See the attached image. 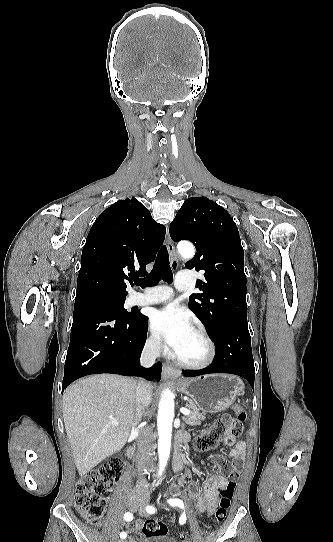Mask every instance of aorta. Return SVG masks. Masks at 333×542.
<instances>
[{
  "label": "aorta",
  "mask_w": 333,
  "mask_h": 542,
  "mask_svg": "<svg viewBox=\"0 0 333 542\" xmlns=\"http://www.w3.org/2000/svg\"><path fill=\"white\" fill-rule=\"evenodd\" d=\"M181 256L192 258L194 256V248L191 244L178 246ZM174 418V398L170 390H164L158 408V454H159V472L162 474L168 462L171 446L172 422Z\"/></svg>",
  "instance_id": "762f6f07"
}]
</instances>
